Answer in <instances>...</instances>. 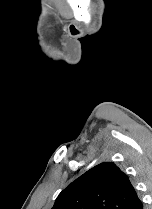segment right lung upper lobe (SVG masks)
<instances>
[{"mask_svg":"<svg viewBox=\"0 0 152 209\" xmlns=\"http://www.w3.org/2000/svg\"><path fill=\"white\" fill-rule=\"evenodd\" d=\"M137 193L113 162L91 168L57 197L52 209H127Z\"/></svg>","mask_w":152,"mask_h":209,"instance_id":"obj_1","label":"right lung upper lobe"}]
</instances>
